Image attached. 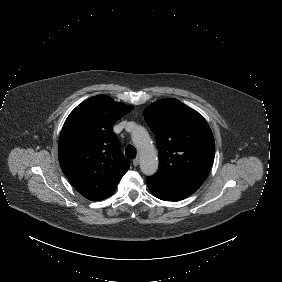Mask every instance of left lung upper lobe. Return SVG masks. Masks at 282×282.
I'll list each match as a JSON object with an SVG mask.
<instances>
[{
  "mask_svg": "<svg viewBox=\"0 0 282 282\" xmlns=\"http://www.w3.org/2000/svg\"><path fill=\"white\" fill-rule=\"evenodd\" d=\"M144 117L157 141L156 174L204 181L215 155L214 137L206 120L173 98L154 102Z\"/></svg>",
  "mask_w": 282,
  "mask_h": 282,
  "instance_id": "5c2ea615",
  "label": "left lung upper lobe"
}]
</instances>
